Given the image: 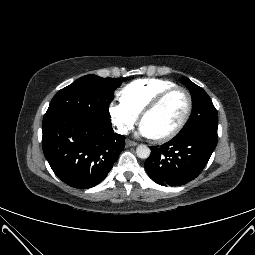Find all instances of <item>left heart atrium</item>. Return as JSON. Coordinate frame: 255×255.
I'll return each instance as SVG.
<instances>
[{
	"label": "left heart atrium",
	"instance_id": "obj_1",
	"mask_svg": "<svg viewBox=\"0 0 255 255\" xmlns=\"http://www.w3.org/2000/svg\"><path fill=\"white\" fill-rule=\"evenodd\" d=\"M139 134L146 138H154L152 132L149 130V128L145 124H141L139 128Z\"/></svg>",
	"mask_w": 255,
	"mask_h": 255
}]
</instances>
